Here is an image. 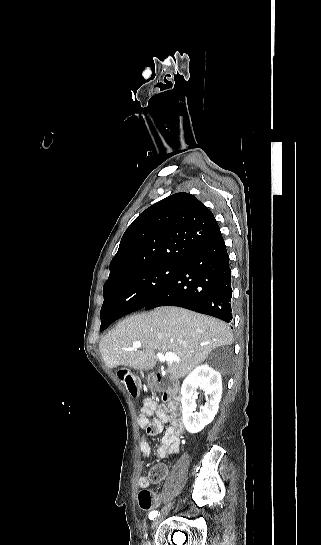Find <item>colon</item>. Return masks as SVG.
I'll list each match as a JSON object with an SVG mask.
<instances>
[{"mask_svg":"<svg viewBox=\"0 0 321 545\" xmlns=\"http://www.w3.org/2000/svg\"><path fill=\"white\" fill-rule=\"evenodd\" d=\"M118 377L132 397H137L139 395L138 380L131 371L128 369H120L118 371ZM138 501L141 509L145 511H151L159 505L158 497L148 489H143L139 492Z\"/></svg>","mask_w":321,"mask_h":545,"instance_id":"5ec220e1","label":"colon"}]
</instances>
